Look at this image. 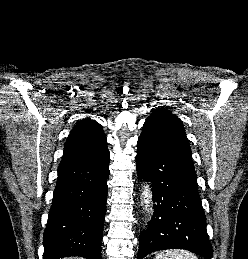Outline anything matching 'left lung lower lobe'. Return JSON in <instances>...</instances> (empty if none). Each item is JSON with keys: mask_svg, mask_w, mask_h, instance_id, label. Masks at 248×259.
<instances>
[{"mask_svg": "<svg viewBox=\"0 0 248 259\" xmlns=\"http://www.w3.org/2000/svg\"><path fill=\"white\" fill-rule=\"evenodd\" d=\"M136 167L151 183L154 214L140 236L138 259L165 249H185L211 259L206 218L195 171L138 140Z\"/></svg>", "mask_w": 248, "mask_h": 259, "instance_id": "0a47b994", "label": "left lung lower lobe"}]
</instances>
